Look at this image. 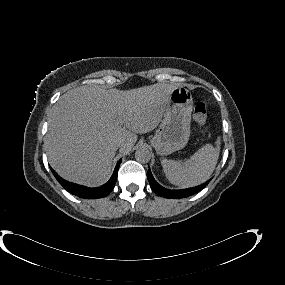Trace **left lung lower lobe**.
Segmentation results:
<instances>
[{
    "mask_svg": "<svg viewBox=\"0 0 285 285\" xmlns=\"http://www.w3.org/2000/svg\"><path fill=\"white\" fill-rule=\"evenodd\" d=\"M147 178H148V181L150 183L152 190L156 194H158L162 197L171 198V199H180V198L189 197V196L197 193L198 191H200L202 188H204L210 181V180H208L204 184L197 186L195 188H189V189H185V190H169V189L163 188L162 186H160L155 181V179L152 176L150 169L147 172Z\"/></svg>",
    "mask_w": 285,
    "mask_h": 285,
    "instance_id": "1",
    "label": "left lung lower lobe"
}]
</instances>
